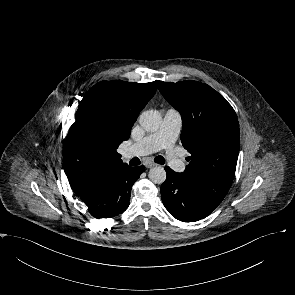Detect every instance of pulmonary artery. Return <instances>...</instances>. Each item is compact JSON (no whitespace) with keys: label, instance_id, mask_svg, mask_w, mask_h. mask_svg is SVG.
Listing matches in <instances>:
<instances>
[{"label":"pulmonary artery","instance_id":"e3ab8cb5","mask_svg":"<svg viewBox=\"0 0 295 295\" xmlns=\"http://www.w3.org/2000/svg\"><path fill=\"white\" fill-rule=\"evenodd\" d=\"M182 127V116L176 109L166 111L160 127L153 133L124 150L125 158L133 155H148L160 150H166L171 168L177 172L185 169L184 161L172 149Z\"/></svg>","mask_w":295,"mask_h":295}]
</instances>
